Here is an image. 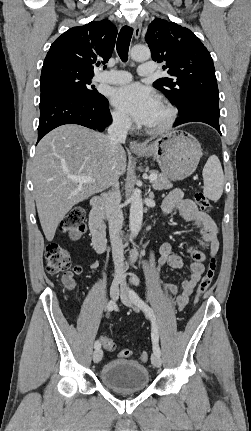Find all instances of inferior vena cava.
I'll list each match as a JSON object with an SVG mask.
<instances>
[{
	"mask_svg": "<svg viewBox=\"0 0 251 431\" xmlns=\"http://www.w3.org/2000/svg\"><path fill=\"white\" fill-rule=\"evenodd\" d=\"M130 126L131 121L126 115H117L114 117L112 124L108 128V140L113 150L122 143H125ZM118 179L119 178L114 179L112 183L114 189L108 192L103 199L106 217L109 222L112 256L115 265V279L124 280L126 277L123 268L124 246L120 238V232L123 226V212L120 206Z\"/></svg>",
	"mask_w": 251,
	"mask_h": 431,
	"instance_id": "inferior-vena-cava-1",
	"label": "inferior vena cava"
}]
</instances>
